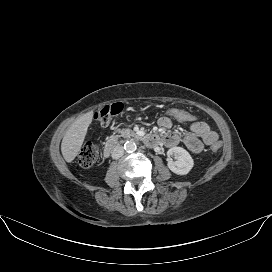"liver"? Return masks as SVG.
<instances>
[{"instance_id": "liver-1", "label": "liver", "mask_w": 272, "mask_h": 272, "mask_svg": "<svg viewBox=\"0 0 272 272\" xmlns=\"http://www.w3.org/2000/svg\"><path fill=\"white\" fill-rule=\"evenodd\" d=\"M92 113L88 112L76 119L67 129L61 143V152L64 159L70 163L78 155L84 142L87 129L92 121Z\"/></svg>"}]
</instances>
